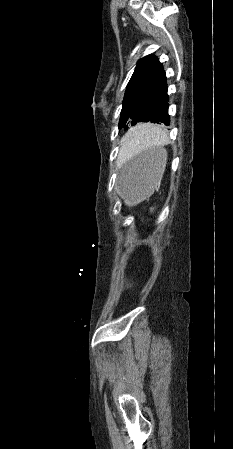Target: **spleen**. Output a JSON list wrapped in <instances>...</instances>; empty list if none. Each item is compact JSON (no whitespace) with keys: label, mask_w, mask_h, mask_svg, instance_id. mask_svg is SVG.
Masks as SVG:
<instances>
[{"label":"spleen","mask_w":233,"mask_h":449,"mask_svg":"<svg viewBox=\"0 0 233 449\" xmlns=\"http://www.w3.org/2000/svg\"><path fill=\"white\" fill-rule=\"evenodd\" d=\"M162 126L160 124H137V130L129 132L122 146V152L127 153L133 149H142L144 146H155L162 142ZM163 171V170H162ZM153 208H151V211Z\"/></svg>","instance_id":"1"}]
</instances>
